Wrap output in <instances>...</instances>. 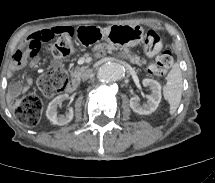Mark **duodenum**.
<instances>
[{"label":"duodenum","instance_id":"410a0bca","mask_svg":"<svg viewBox=\"0 0 215 183\" xmlns=\"http://www.w3.org/2000/svg\"><path fill=\"white\" fill-rule=\"evenodd\" d=\"M75 88H76V83L71 81L67 84L65 91L68 93H71L75 90Z\"/></svg>","mask_w":215,"mask_h":183}]
</instances>
